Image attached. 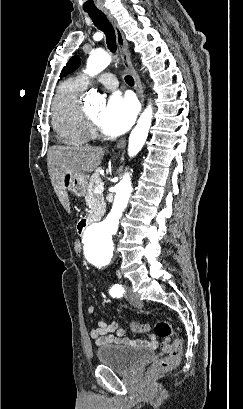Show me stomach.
Returning a JSON list of instances; mask_svg holds the SVG:
<instances>
[{
  "label": "stomach",
  "mask_w": 243,
  "mask_h": 409,
  "mask_svg": "<svg viewBox=\"0 0 243 409\" xmlns=\"http://www.w3.org/2000/svg\"><path fill=\"white\" fill-rule=\"evenodd\" d=\"M87 180L86 175H71L67 172L64 175L62 185L65 191L68 190L76 196L82 197L86 194Z\"/></svg>",
  "instance_id": "0dacf381"
}]
</instances>
